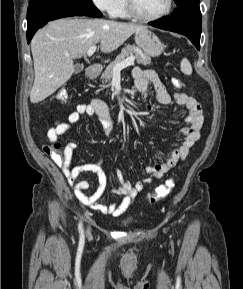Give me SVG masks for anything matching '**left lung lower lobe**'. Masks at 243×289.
I'll list each match as a JSON object with an SVG mask.
<instances>
[{
	"label": "left lung lower lobe",
	"instance_id": "1",
	"mask_svg": "<svg viewBox=\"0 0 243 289\" xmlns=\"http://www.w3.org/2000/svg\"><path fill=\"white\" fill-rule=\"evenodd\" d=\"M201 12L199 2H185L177 5V8L167 18L149 22L163 30L173 31L188 37L200 49Z\"/></svg>",
	"mask_w": 243,
	"mask_h": 289
}]
</instances>
